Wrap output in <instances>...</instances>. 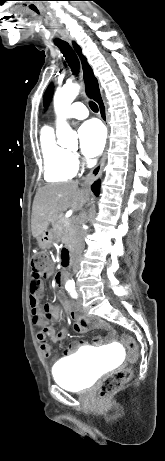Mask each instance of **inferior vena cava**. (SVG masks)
<instances>
[{
    "instance_id": "602c4592",
    "label": "inferior vena cava",
    "mask_w": 165,
    "mask_h": 461,
    "mask_svg": "<svg viewBox=\"0 0 165 461\" xmlns=\"http://www.w3.org/2000/svg\"><path fill=\"white\" fill-rule=\"evenodd\" d=\"M86 218H87V213L83 211L80 215L79 224H78L76 234H75L74 248L72 251V267H73L74 274L78 273V270L80 268L79 262H80V256L82 254V250L84 248V236H85V230L83 226L86 222Z\"/></svg>"
}]
</instances>
